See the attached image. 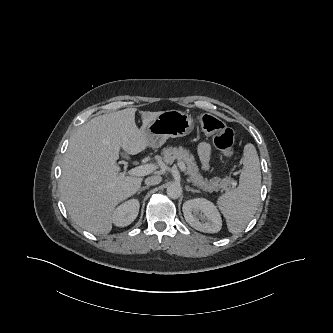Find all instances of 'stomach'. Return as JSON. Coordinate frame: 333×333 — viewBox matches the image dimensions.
<instances>
[{
	"label": "stomach",
	"instance_id": "obj_1",
	"mask_svg": "<svg viewBox=\"0 0 333 333\" xmlns=\"http://www.w3.org/2000/svg\"><path fill=\"white\" fill-rule=\"evenodd\" d=\"M194 129L191 115L179 110L161 112L146 128L149 147H161L168 138L183 137Z\"/></svg>",
	"mask_w": 333,
	"mask_h": 333
}]
</instances>
